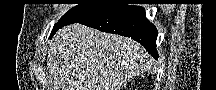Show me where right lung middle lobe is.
Returning a JSON list of instances; mask_svg holds the SVG:
<instances>
[{"instance_id": "obj_1", "label": "right lung middle lobe", "mask_w": 216, "mask_h": 90, "mask_svg": "<svg viewBox=\"0 0 216 90\" xmlns=\"http://www.w3.org/2000/svg\"><path fill=\"white\" fill-rule=\"evenodd\" d=\"M114 6L115 4H79L66 12L54 25L52 35L63 26L91 18L113 8Z\"/></svg>"}]
</instances>
